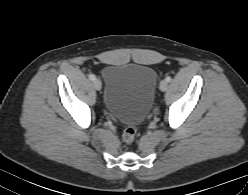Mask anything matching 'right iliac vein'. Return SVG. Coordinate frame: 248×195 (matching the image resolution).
Returning a JSON list of instances; mask_svg holds the SVG:
<instances>
[{"label":"right iliac vein","mask_w":248,"mask_h":195,"mask_svg":"<svg viewBox=\"0 0 248 195\" xmlns=\"http://www.w3.org/2000/svg\"><path fill=\"white\" fill-rule=\"evenodd\" d=\"M93 86L96 90H101L102 88L101 81L99 79H95L93 82Z\"/></svg>","instance_id":"obj_1"}]
</instances>
